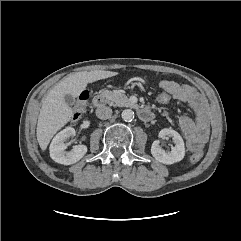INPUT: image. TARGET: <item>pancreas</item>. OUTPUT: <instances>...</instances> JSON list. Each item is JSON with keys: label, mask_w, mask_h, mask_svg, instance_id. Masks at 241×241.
<instances>
[{"label": "pancreas", "mask_w": 241, "mask_h": 241, "mask_svg": "<svg viewBox=\"0 0 241 241\" xmlns=\"http://www.w3.org/2000/svg\"><path fill=\"white\" fill-rule=\"evenodd\" d=\"M101 96L105 98L106 102L111 106H130L129 98L120 91L104 90Z\"/></svg>", "instance_id": "pancreas-1"}]
</instances>
